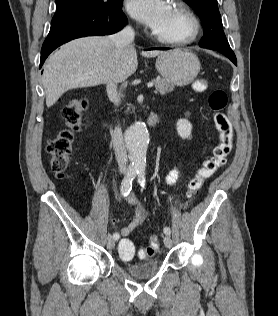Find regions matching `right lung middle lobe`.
<instances>
[{"mask_svg": "<svg viewBox=\"0 0 278 316\" xmlns=\"http://www.w3.org/2000/svg\"><path fill=\"white\" fill-rule=\"evenodd\" d=\"M113 2V0H56L57 10L54 17L84 10L106 9Z\"/></svg>", "mask_w": 278, "mask_h": 316, "instance_id": "right-lung-middle-lobe-1", "label": "right lung middle lobe"}]
</instances>
